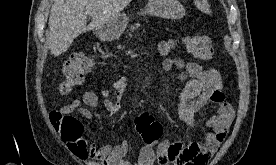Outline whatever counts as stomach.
Listing matches in <instances>:
<instances>
[{
  "label": "stomach",
  "instance_id": "0dacf381",
  "mask_svg": "<svg viewBox=\"0 0 276 165\" xmlns=\"http://www.w3.org/2000/svg\"><path fill=\"white\" fill-rule=\"evenodd\" d=\"M144 14L178 20L185 15V9L178 0H149L145 11L141 12V15ZM128 22L129 17L126 14H119L105 25L96 28L95 34L102 41L115 40L124 32Z\"/></svg>",
  "mask_w": 276,
  "mask_h": 165
}]
</instances>
